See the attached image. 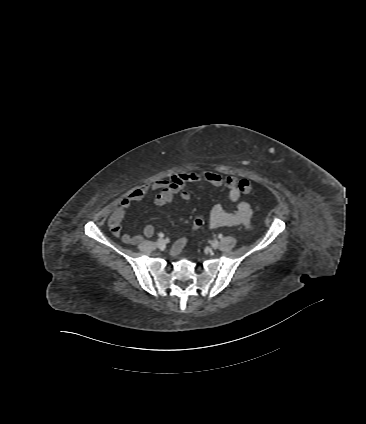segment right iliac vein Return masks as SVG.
<instances>
[{
  "mask_svg": "<svg viewBox=\"0 0 366 424\" xmlns=\"http://www.w3.org/2000/svg\"><path fill=\"white\" fill-rule=\"evenodd\" d=\"M156 245L158 248H164L166 245V242L164 239L160 238L157 240Z\"/></svg>",
  "mask_w": 366,
  "mask_h": 424,
  "instance_id": "63e3f726",
  "label": "right iliac vein"
}]
</instances>
